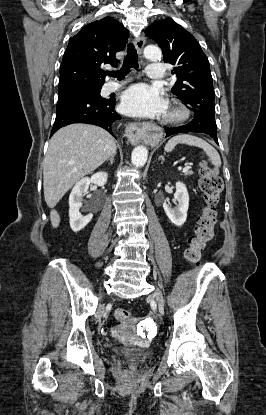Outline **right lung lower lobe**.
I'll return each instance as SVG.
<instances>
[{"label": "right lung lower lobe", "mask_w": 266, "mask_h": 415, "mask_svg": "<svg viewBox=\"0 0 266 415\" xmlns=\"http://www.w3.org/2000/svg\"><path fill=\"white\" fill-rule=\"evenodd\" d=\"M115 99L102 97L60 98L57 102L56 119L51 131L73 123H87L100 126L113 135V126L121 117L115 112Z\"/></svg>", "instance_id": "obj_1"}]
</instances>
